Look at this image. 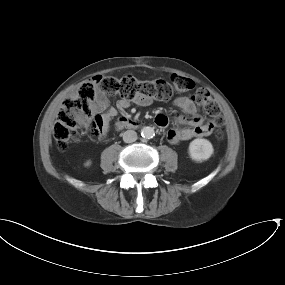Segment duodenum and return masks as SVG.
Masks as SVG:
<instances>
[{"label":"duodenum","mask_w":285,"mask_h":285,"mask_svg":"<svg viewBox=\"0 0 285 285\" xmlns=\"http://www.w3.org/2000/svg\"><path fill=\"white\" fill-rule=\"evenodd\" d=\"M138 123L130 118L123 117L120 118L116 123H115V128L116 130H123V129H134L137 128Z\"/></svg>","instance_id":"1"}]
</instances>
